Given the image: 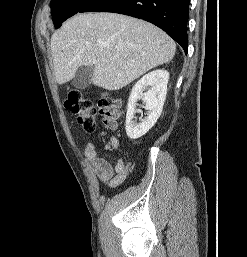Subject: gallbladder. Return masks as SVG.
Here are the masks:
<instances>
[{
    "mask_svg": "<svg viewBox=\"0 0 247 257\" xmlns=\"http://www.w3.org/2000/svg\"><path fill=\"white\" fill-rule=\"evenodd\" d=\"M93 74L94 69L92 66H80L73 78V86L77 89L87 88L92 82Z\"/></svg>",
    "mask_w": 247,
    "mask_h": 257,
    "instance_id": "gallbladder-1",
    "label": "gallbladder"
}]
</instances>
